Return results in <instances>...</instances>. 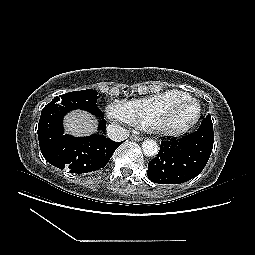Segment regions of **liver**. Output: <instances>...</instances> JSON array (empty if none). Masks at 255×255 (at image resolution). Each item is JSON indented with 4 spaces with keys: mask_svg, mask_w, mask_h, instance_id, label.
<instances>
[{
    "mask_svg": "<svg viewBox=\"0 0 255 255\" xmlns=\"http://www.w3.org/2000/svg\"><path fill=\"white\" fill-rule=\"evenodd\" d=\"M66 133L73 136H88L96 132L97 121L85 111H73L64 119Z\"/></svg>",
    "mask_w": 255,
    "mask_h": 255,
    "instance_id": "liver-1",
    "label": "liver"
}]
</instances>
